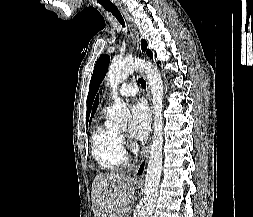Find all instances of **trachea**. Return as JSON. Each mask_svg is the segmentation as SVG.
<instances>
[{"mask_svg":"<svg viewBox=\"0 0 253 217\" xmlns=\"http://www.w3.org/2000/svg\"><path fill=\"white\" fill-rule=\"evenodd\" d=\"M108 12L112 13L113 16L119 21V23L124 27V19L117 8H105ZM139 83L143 88H146V81L143 78H139Z\"/></svg>","mask_w":253,"mask_h":217,"instance_id":"3493384b","label":"trachea"}]
</instances>
